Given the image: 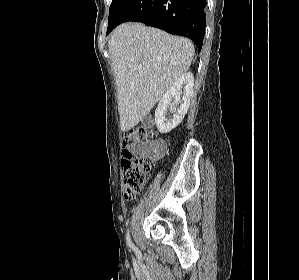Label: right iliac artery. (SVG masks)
<instances>
[{"instance_id": "82829eb1", "label": "right iliac artery", "mask_w": 299, "mask_h": 280, "mask_svg": "<svg viewBox=\"0 0 299 280\" xmlns=\"http://www.w3.org/2000/svg\"><path fill=\"white\" fill-rule=\"evenodd\" d=\"M126 240H127V244H128L130 247H133V244H132L131 239H130V236H129V232H127Z\"/></svg>"}]
</instances>
